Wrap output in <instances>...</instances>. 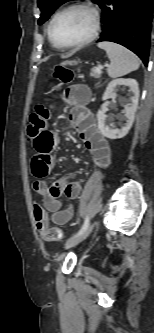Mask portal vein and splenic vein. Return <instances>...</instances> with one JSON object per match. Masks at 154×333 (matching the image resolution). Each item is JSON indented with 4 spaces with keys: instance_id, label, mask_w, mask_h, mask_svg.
Instances as JSON below:
<instances>
[{
    "instance_id": "18ae733b",
    "label": "portal vein and splenic vein",
    "mask_w": 154,
    "mask_h": 333,
    "mask_svg": "<svg viewBox=\"0 0 154 333\" xmlns=\"http://www.w3.org/2000/svg\"><path fill=\"white\" fill-rule=\"evenodd\" d=\"M96 69H97L98 72H101V70L103 69V66L99 65Z\"/></svg>"
}]
</instances>
